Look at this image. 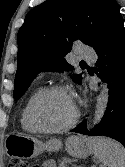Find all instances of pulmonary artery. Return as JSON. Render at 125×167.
<instances>
[{
    "label": "pulmonary artery",
    "instance_id": "obj_1",
    "mask_svg": "<svg viewBox=\"0 0 125 167\" xmlns=\"http://www.w3.org/2000/svg\"><path fill=\"white\" fill-rule=\"evenodd\" d=\"M80 56L82 58L88 59V60H94V59H96V55L89 48H83V49H81L80 50Z\"/></svg>",
    "mask_w": 125,
    "mask_h": 167
}]
</instances>
